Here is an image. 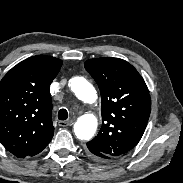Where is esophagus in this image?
Listing matches in <instances>:
<instances>
[{
	"mask_svg": "<svg viewBox=\"0 0 183 183\" xmlns=\"http://www.w3.org/2000/svg\"><path fill=\"white\" fill-rule=\"evenodd\" d=\"M73 123V120H67V121H59V126L61 127H68Z\"/></svg>",
	"mask_w": 183,
	"mask_h": 183,
	"instance_id": "obj_1",
	"label": "esophagus"
}]
</instances>
